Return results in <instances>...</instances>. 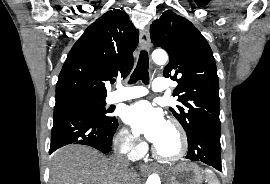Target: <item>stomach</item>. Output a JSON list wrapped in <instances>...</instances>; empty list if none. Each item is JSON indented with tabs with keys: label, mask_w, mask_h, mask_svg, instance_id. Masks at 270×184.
<instances>
[{
	"label": "stomach",
	"mask_w": 270,
	"mask_h": 184,
	"mask_svg": "<svg viewBox=\"0 0 270 184\" xmlns=\"http://www.w3.org/2000/svg\"><path fill=\"white\" fill-rule=\"evenodd\" d=\"M168 184H202L204 176L199 167L191 162H182L165 170Z\"/></svg>",
	"instance_id": "0dacf381"
}]
</instances>
